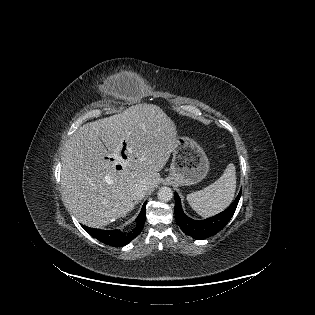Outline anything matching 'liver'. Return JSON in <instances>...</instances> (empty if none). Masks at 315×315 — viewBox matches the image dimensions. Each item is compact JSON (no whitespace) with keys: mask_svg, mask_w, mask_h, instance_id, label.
Segmentation results:
<instances>
[{"mask_svg":"<svg viewBox=\"0 0 315 315\" xmlns=\"http://www.w3.org/2000/svg\"><path fill=\"white\" fill-rule=\"evenodd\" d=\"M176 135L174 122L153 104L131 106L78 128L61 158L63 196L71 213L89 227L127 215L144 198L136 196L140 182L149 190L160 183L159 171L177 147ZM124 142L126 161L120 156Z\"/></svg>","mask_w":315,"mask_h":315,"instance_id":"6515ba94","label":"liver"}]
</instances>
